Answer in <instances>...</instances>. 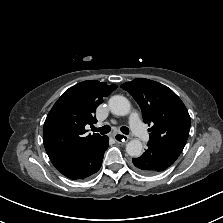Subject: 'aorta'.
<instances>
[{
  "label": "aorta",
  "instance_id": "762f6f07",
  "mask_svg": "<svg viewBox=\"0 0 223 223\" xmlns=\"http://www.w3.org/2000/svg\"><path fill=\"white\" fill-rule=\"evenodd\" d=\"M110 111L118 116H125L131 110L130 102L121 95L112 96L108 101ZM143 146L139 139H132L126 145V152L131 157H140L142 155Z\"/></svg>",
  "mask_w": 223,
  "mask_h": 223
}]
</instances>
